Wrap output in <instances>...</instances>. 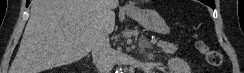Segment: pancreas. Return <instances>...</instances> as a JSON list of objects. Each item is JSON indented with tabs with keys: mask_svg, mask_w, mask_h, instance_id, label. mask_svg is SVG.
Returning a JSON list of instances; mask_svg holds the SVG:
<instances>
[{
	"mask_svg": "<svg viewBox=\"0 0 244 73\" xmlns=\"http://www.w3.org/2000/svg\"><path fill=\"white\" fill-rule=\"evenodd\" d=\"M157 46L166 54H174L178 50V46L176 44L168 43L166 41H159Z\"/></svg>",
	"mask_w": 244,
	"mask_h": 73,
	"instance_id": "pancreas-1",
	"label": "pancreas"
}]
</instances>
